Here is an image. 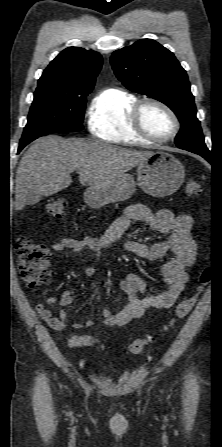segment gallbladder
<instances>
[{
	"mask_svg": "<svg viewBox=\"0 0 222 447\" xmlns=\"http://www.w3.org/2000/svg\"><path fill=\"white\" fill-rule=\"evenodd\" d=\"M41 199H42L41 195H36L34 198L27 200V205L37 204Z\"/></svg>",
	"mask_w": 222,
	"mask_h": 447,
	"instance_id": "1",
	"label": "gallbladder"
}]
</instances>
